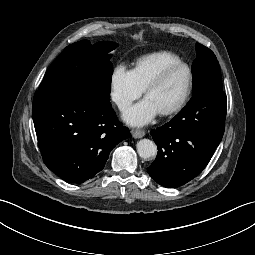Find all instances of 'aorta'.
I'll list each match as a JSON object with an SVG mask.
<instances>
[{
	"mask_svg": "<svg viewBox=\"0 0 255 255\" xmlns=\"http://www.w3.org/2000/svg\"><path fill=\"white\" fill-rule=\"evenodd\" d=\"M137 152L143 159L154 158L157 154V147L155 143L149 139H141L137 143Z\"/></svg>",
	"mask_w": 255,
	"mask_h": 255,
	"instance_id": "obj_1",
	"label": "aorta"
}]
</instances>
